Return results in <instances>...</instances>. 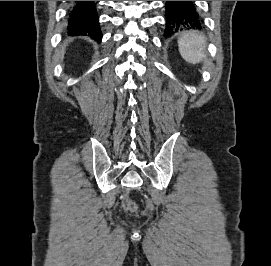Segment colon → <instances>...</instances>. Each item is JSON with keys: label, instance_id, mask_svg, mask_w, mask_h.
I'll list each match as a JSON object with an SVG mask.
<instances>
[{"label": "colon", "instance_id": "1", "mask_svg": "<svg viewBox=\"0 0 271 266\" xmlns=\"http://www.w3.org/2000/svg\"><path fill=\"white\" fill-rule=\"evenodd\" d=\"M125 207H126L129 211H131V212H135L136 209H137L136 204H135L132 200H130V199H127V200L125 201Z\"/></svg>", "mask_w": 271, "mask_h": 266}]
</instances>
